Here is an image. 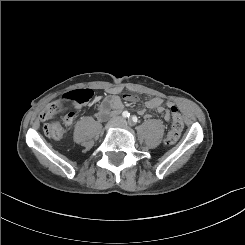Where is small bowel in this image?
Wrapping results in <instances>:
<instances>
[{
  "instance_id": "c3829d8e",
  "label": "small bowel",
  "mask_w": 245,
  "mask_h": 245,
  "mask_svg": "<svg viewBox=\"0 0 245 245\" xmlns=\"http://www.w3.org/2000/svg\"><path fill=\"white\" fill-rule=\"evenodd\" d=\"M123 101L129 104H133L138 101V97L133 94H125L122 100L120 97L116 95L110 96L109 98L101 101L98 104V108H97L98 117L104 118L107 115H109L112 110L120 109L123 105ZM165 105L166 104L164 100L158 97L148 100L145 104L147 109L154 110L160 114H163L165 121L169 122L171 120V117L169 113L166 111ZM167 105H169V103H167ZM139 114L145 117H149V114L145 109H141L139 111Z\"/></svg>"
}]
</instances>
